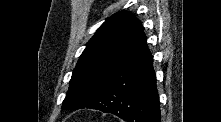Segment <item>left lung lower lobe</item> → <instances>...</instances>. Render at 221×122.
I'll use <instances>...</instances> for the list:
<instances>
[{
    "instance_id": "left-lung-lower-lobe-1",
    "label": "left lung lower lobe",
    "mask_w": 221,
    "mask_h": 122,
    "mask_svg": "<svg viewBox=\"0 0 221 122\" xmlns=\"http://www.w3.org/2000/svg\"><path fill=\"white\" fill-rule=\"evenodd\" d=\"M80 108L113 113L127 122H160L153 59L139 20L114 68Z\"/></svg>"
}]
</instances>
